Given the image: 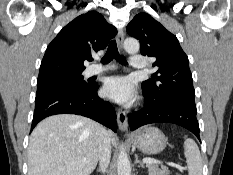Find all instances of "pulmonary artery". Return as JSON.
Returning a JSON list of instances; mask_svg holds the SVG:
<instances>
[{"label":"pulmonary artery","mask_w":233,"mask_h":175,"mask_svg":"<svg viewBox=\"0 0 233 175\" xmlns=\"http://www.w3.org/2000/svg\"><path fill=\"white\" fill-rule=\"evenodd\" d=\"M130 64H131V67L134 69H143L147 66V63L142 55L131 56ZM106 69L108 68L94 65L87 69V74L95 75V74L105 71Z\"/></svg>","instance_id":"obj_1"}]
</instances>
